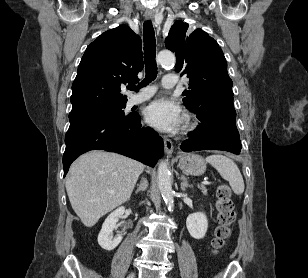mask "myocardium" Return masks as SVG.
<instances>
[{
    "instance_id": "f54148a6",
    "label": "myocardium",
    "mask_w": 308,
    "mask_h": 278,
    "mask_svg": "<svg viewBox=\"0 0 308 278\" xmlns=\"http://www.w3.org/2000/svg\"><path fill=\"white\" fill-rule=\"evenodd\" d=\"M194 125H195L194 122L192 120L188 119L185 127H186V129H191V128L194 127Z\"/></svg>"
}]
</instances>
